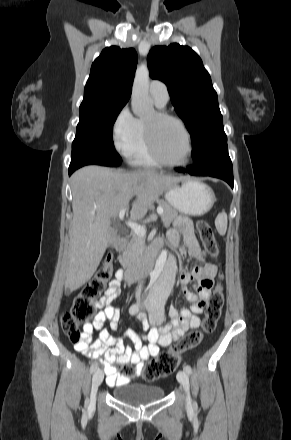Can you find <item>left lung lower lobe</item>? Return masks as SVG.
Masks as SVG:
<instances>
[{"instance_id":"0a47b994","label":"left lung lower lobe","mask_w":291,"mask_h":440,"mask_svg":"<svg viewBox=\"0 0 291 440\" xmlns=\"http://www.w3.org/2000/svg\"><path fill=\"white\" fill-rule=\"evenodd\" d=\"M177 172L189 173L195 176H212L223 179L233 188V168L228 154L227 143L218 146L207 156L194 165L184 168H175Z\"/></svg>"}]
</instances>
